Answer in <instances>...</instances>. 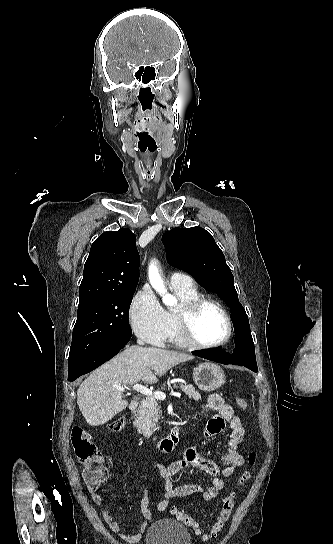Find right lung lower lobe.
I'll list each match as a JSON object with an SVG mask.
<instances>
[{
  "mask_svg": "<svg viewBox=\"0 0 333 544\" xmlns=\"http://www.w3.org/2000/svg\"><path fill=\"white\" fill-rule=\"evenodd\" d=\"M132 333L122 332L88 351L82 358L69 362L68 381L72 382L115 356L130 340Z\"/></svg>",
  "mask_w": 333,
  "mask_h": 544,
  "instance_id": "obj_1",
  "label": "right lung lower lobe"
}]
</instances>
